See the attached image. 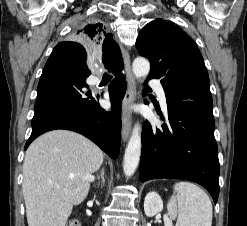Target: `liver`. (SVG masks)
<instances>
[{"mask_svg": "<svg viewBox=\"0 0 247 226\" xmlns=\"http://www.w3.org/2000/svg\"><path fill=\"white\" fill-rule=\"evenodd\" d=\"M103 160L102 151L78 133L55 130L38 137L23 163L28 226H65Z\"/></svg>", "mask_w": 247, "mask_h": 226, "instance_id": "6515ba94", "label": "liver"}]
</instances>
